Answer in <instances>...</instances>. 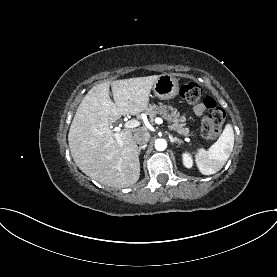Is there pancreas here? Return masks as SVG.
Returning a JSON list of instances; mask_svg holds the SVG:
<instances>
[{
  "instance_id": "cf45deb5",
  "label": "pancreas",
  "mask_w": 277,
  "mask_h": 277,
  "mask_svg": "<svg viewBox=\"0 0 277 277\" xmlns=\"http://www.w3.org/2000/svg\"><path fill=\"white\" fill-rule=\"evenodd\" d=\"M145 112L151 121L154 120L157 114L161 115L165 120L172 123L170 128L181 135H186L190 131L189 128L185 127L186 118L180 116V114L171 106H156L155 104H152L149 105Z\"/></svg>"
}]
</instances>
